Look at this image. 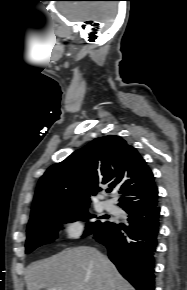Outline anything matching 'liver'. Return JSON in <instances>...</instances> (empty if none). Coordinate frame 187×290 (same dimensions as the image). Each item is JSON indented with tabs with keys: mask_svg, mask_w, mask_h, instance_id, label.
Returning a JSON list of instances; mask_svg holds the SVG:
<instances>
[{
	"mask_svg": "<svg viewBox=\"0 0 187 290\" xmlns=\"http://www.w3.org/2000/svg\"><path fill=\"white\" fill-rule=\"evenodd\" d=\"M25 280L27 290H135L105 255L86 246L31 264Z\"/></svg>",
	"mask_w": 187,
	"mask_h": 290,
	"instance_id": "6515ba94",
	"label": "liver"
}]
</instances>
